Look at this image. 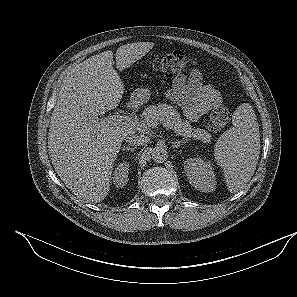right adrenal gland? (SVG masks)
<instances>
[{
	"label": "right adrenal gland",
	"mask_w": 297,
	"mask_h": 297,
	"mask_svg": "<svg viewBox=\"0 0 297 297\" xmlns=\"http://www.w3.org/2000/svg\"><path fill=\"white\" fill-rule=\"evenodd\" d=\"M135 149L136 148H132V147H130V146H124L123 148H122V150L123 151H130V152H134L135 151Z\"/></svg>",
	"instance_id": "1"
}]
</instances>
